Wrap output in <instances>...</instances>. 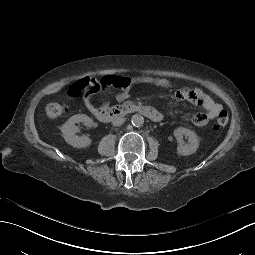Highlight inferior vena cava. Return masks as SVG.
I'll use <instances>...</instances> for the list:
<instances>
[{"instance_id": "obj_1", "label": "inferior vena cava", "mask_w": 255, "mask_h": 255, "mask_svg": "<svg viewBox=\"0 0 255 255\" xmlns=\"http://www.w3.org/2000/svg\"><path fill=\"white\" fill-rule=\"evenodd\" d=\"M125 122V118H117L112 123L113 126H120Z\"/></svg>"}]
</instances>
